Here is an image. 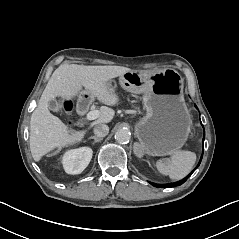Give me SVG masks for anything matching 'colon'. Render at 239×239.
<instances>
[{
    "mask_svg": "<svg viewBox=\"0 0 239 239\" xmlns=\"http://www.w3.org/2000/svg\"><path fill=\"white\" fill-rule=\"evenodd\" d=\"M65 106L67 110H70L72 108V101H67Z\"/></svg>",
    "mask_w": 239,
    "mask_h": 239,
    "instance_id": "obj_1",
    "label": "colon"
}]
</instances>
